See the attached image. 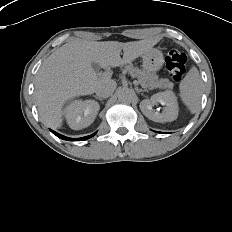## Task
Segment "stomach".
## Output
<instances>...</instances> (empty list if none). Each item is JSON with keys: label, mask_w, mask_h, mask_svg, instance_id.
Returning a JSON list of instances; mask_svg holds the SVG:
<instances>
[{"label": "stomach", "mask_w": 232, "mask_h": 232, "mask_svg": "<svg viewBox=\"0 0 232 232\" xmlns=\"http://www.w3.org/2000/svg\"><path fill=\"white\" fill-rule=\"evenodd\" d=\"M143 67L146 71H156L163 64V54L157 49H150L143 55Z\"/></svg>", "instance_id": "stomach-1"}]
</instances>
